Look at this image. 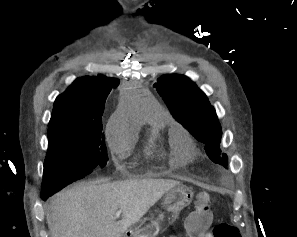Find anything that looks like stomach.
<instances>
[{"instance_id": "obj_1", "label": "stomach", "mask_w": 297, "mask_h": 237, "mask_svg": "<svg viewBox=\"0 0 297 237\" xmlns=\"http://www.w3.org/2000/svg\"><path fill=\"white\" fill-rule=\"evenodd\" d=\"M193 198V192L182 185H178L169 190L163 200L165 208L177 214L184 207L188 206ZM164 215L160 212L151 214L129 227L121 237H156L160 231V221Z\"/></svg>"}]
</instances>
